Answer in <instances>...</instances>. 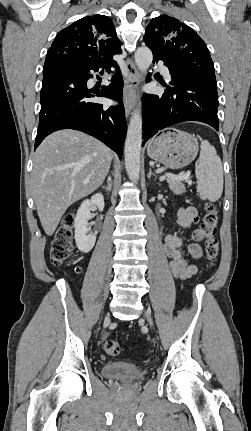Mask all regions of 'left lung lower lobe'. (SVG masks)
<instances>
[{
    "instance_id": "1",
    "label": "left lung lower lobe",
    "mask_w": 251,
    "mask_h": 431,
    "mask_svg": "<svg viewBox=\"0 0 251 431\" xmlns=\"http://www.w3.org/2000/svg\"><path fill=\"white\" fill-rule=\"evenodd\" d=\"M164 61L172 75L170 85L162 96H143V142L158 131L185 121H200L209 124L217 131L218 95L214 73L200 70H180L174 62L159 57L153 63Z\"/></svg>"
}]
</instances>
